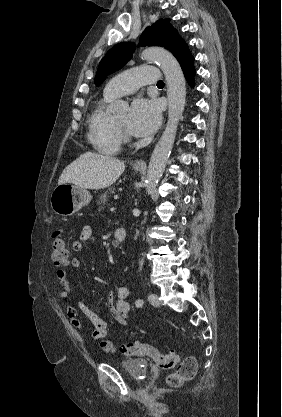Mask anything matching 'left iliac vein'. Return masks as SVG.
I'll use <instances>...</instances> for the list:
<instances>
[{"label": "left iliac vein", "instance_id": "1", "mask_svg": "<svg viewBox=\"0 0 282 417\" xmlns=\"http://www.w3.org/2000/svg\"><path fill=\"white\" fill-rule=\"evenodd\" d=\"M148 301L150 302L151 305L155 306V307H159L160 306V302H159V298L157 294H150L148 297Z\"/></svg>", "mask_w": 282, "mask_h": 417}]
</instances>
